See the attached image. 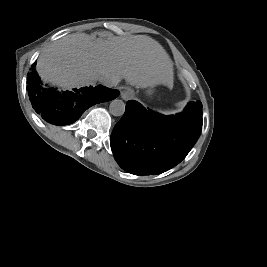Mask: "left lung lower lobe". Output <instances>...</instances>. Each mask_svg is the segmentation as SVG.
Listing matches in <instances>:
<instances>
[{"mask_svg": "<svg viewBox=\"0 0 267 267\" xmlns=\"http://www.w3.org/2000/svg\"><path fill=\"white\" fill-rule=\"evenodd\" d=\"M202 103L190 102L175 116L148 111L129 100L123 117L115 125L110 145L115 160L125 171L156 175L180 163L200 136Z\"/></svg>", "mask_w": 267, "mask_h": 267, "instance_id": "left-lung-lower-lobe-1", "label": "left lung lower lobe"}]
</instances>
